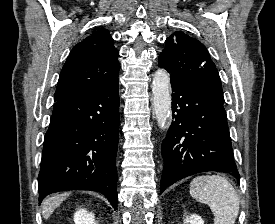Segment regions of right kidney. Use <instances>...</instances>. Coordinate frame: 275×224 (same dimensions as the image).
Wrapping results in <instances>:
<instances>
[{"mask_svg": "<svg viewBox=\"0 0 275 224\" xmlns=\"http://www.w3.org/2000/svg\"><path fill=\"white\" fill-rule=\"evenodd\" d=\"M75 224H96L95 217L86 209H78L74 214Z\"/></svg>", "mask_w": 275, "mask_h": 224, "instance_id": "right-kidney-1", "label": "right kidney"}]
</instances>
